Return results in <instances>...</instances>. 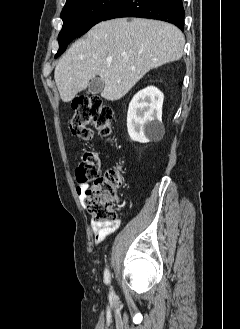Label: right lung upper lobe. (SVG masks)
Returning <instances> with one entry per match:
<instances>
[{
  "instance_id": "1",
  "label": "right lung upper lobe",
  "mask_w": 240,
  "mask_h": 329,
  "mask_svg": "<svg viewBox=\"0 0 240 329\" xmlns=\"http://www.w3.org/2000/svg\"><path fill=\"white\" fill-rule=\"evenodd\" d=\"M72 1H74V0H67V1H66V4H69V3L72 2ZM66 4H65V5H66Z\"/></svg>"
}]
</instances>
